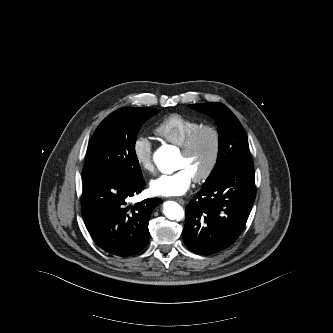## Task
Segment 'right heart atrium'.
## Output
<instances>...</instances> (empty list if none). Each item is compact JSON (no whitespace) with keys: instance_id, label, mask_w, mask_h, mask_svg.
<instances>
[{"instance_id":"right-heart-atrium-1","label":"right heart atrium","mask_w":333,"mask_h":333,"mask_svg":"<svg viewBox=\"0 0 333 333\" xmlns=\"http://www.w3.org/2000/svg\"><path fill=\"white\" fill-rule=\"evenodd\" d=\"M134 158L140 168L146 172L153 171V146L149 137L139 135L132 145Z\"/></svg>"}]
</instances>
